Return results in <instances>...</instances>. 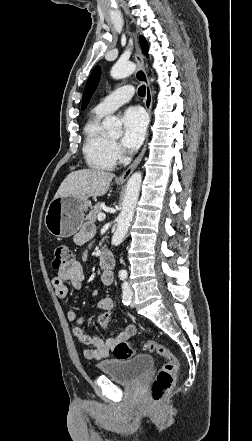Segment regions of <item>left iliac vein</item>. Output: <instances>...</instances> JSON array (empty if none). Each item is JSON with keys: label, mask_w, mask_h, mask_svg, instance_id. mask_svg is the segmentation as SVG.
I'll return each mask as SVG.
<instances>
[{"label": "left iliac vein", "mask_w": 252, "mask_h": 441, "mask_svg": "<svg viewBox=\"0 0 252 441\" xmlns=\"http://www.w3.org/2000/svg\"><path fill=\"white\" fill-rule=\"evenodd\" d=\"M131 293H132V295H134V293H133V290L131 289ZM134 306V303H133V299H132V303H131V307H133Z\"/></svg>", "instance_id": "obj_1"}]
</instances>
